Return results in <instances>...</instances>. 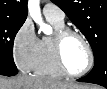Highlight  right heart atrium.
Segmentation results:
<instances>
[{
	"mask_svg": "<svg viewBox=\"0 0 107 89\" xmlns=\"http://www.w3.org/2000/svg\"><path fill=\"white\" fill-rule=\"evenodd\" d=\"M39 47V38L30 21H25L16 32L12 53L17 67L23 72L33 70Z\"/></svg>",
	"mask_w": 107,
	"mask_h": 89,
	"instance_id": "d8ad5b80",
	"label": "right heart atrium"
}]
</instances>
